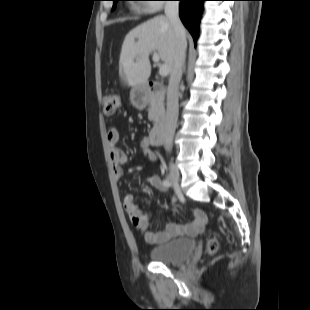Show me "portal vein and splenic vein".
<instances>
[{
	"label": "portal vein and splenic vein",
	"mask_w": 310,
	"mask_h": 310,
	"mask_svg": "<svg viewBox=\"0 0 310 310\" xmlns=\"http://www.w3.org/2000/svg\"><path fill=\"white\" fill-rule=\"evenodd\" d=\"M159 59H160L159 54L156 53V52H154V54H153V61H154L155 63H158V62H159ZM159 74H160V76H162V77L167 76V75L169 74V68H168V66L165 65V64L161 65L160 68H159Z\"/></svg>",
	"instance_id": "1"
}]
</instances>
